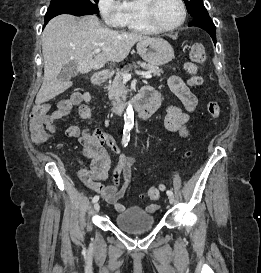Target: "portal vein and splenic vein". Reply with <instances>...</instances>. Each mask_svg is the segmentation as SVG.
<instances>
[{
	"label": "portal vein and splenic vein",
	"instance_id": "obj_1",
	"mask_svg": "<svg viewBox=\"0 0 261 273\" xmlns=\"http://www.w3.org/2000/svg\"><path fill=\"white\" fill-rule=\"evenodd\" d=\"M103 48H97L93 51V54H98L102 51ZM141 77L149 79L152 77L150 72H140ZM131 79V74L125 73L123 74V80H130Z\"/></svg>",
	"mask_w": 261,
	"mask_h": 273
}]
</instances>
